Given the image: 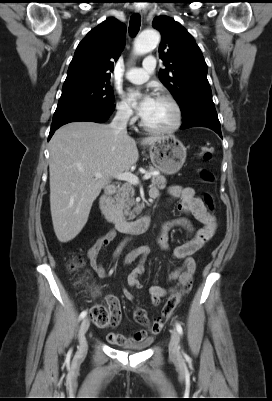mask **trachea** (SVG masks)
Listing matches in <instances>:
<instances>
[{
	"label": "trachea",
	"instance_id": "obj_1",
	"mask_svg": "<svg viewBox=\"0 0 272 401\" xmlns=\"http://www.w3.org/2000/svg\"><path fill=\"white\" fill-rule=\"evenodd\" d=\"M141 25V18L139 14H133L130 18V23H129V34L131 37L136 36V34L139 32Z\"/></svg>",
	"mask_w": 272,
	"mask_h": 401
}]
</instances>
